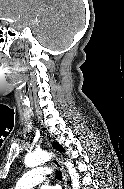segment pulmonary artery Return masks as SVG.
Segmentation results:
<instances>
[{"label": "pulmonary artery", "instance_id": "1", "mask_svg": "<svg viewBox=\"0 0 124 189\" xmlns=\"http://www.w3.org/2000/svg\"><path fill=\"white\" fill-rule=\"evenodd\" d=\"M50 169L47 167L34 168L24 174L16 183L17 189H31L33 186L43 182L48 174Z\"/></svg>", "mask_w": 124, "mask_h": 189}]
</instances>
